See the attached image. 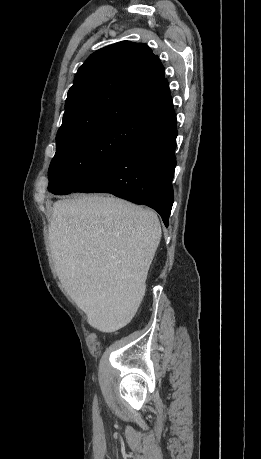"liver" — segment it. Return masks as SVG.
Instances as JSON below:
<instances>
[{"mask_svg":"<svg viewBox=\"0 0 261 459\" xmlns=\"http://www.w3.org/2000/svg\"><path fill=\"white\" fill-rule=\"evenodd\" d=\"M160 239L155 212L113 196L76 195L52 208L49 246L58 277L102 332L128 320Z\"/></svg>","mask_w":261,"mask_h":459,"instance_id":"obj_1","label":"liver"}]
</instances>
